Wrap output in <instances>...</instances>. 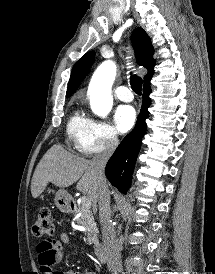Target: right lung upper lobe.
Segmentation results:
<instances>
[{"instance_id":"cb5924a9","label":"right lung upper lobe","mask_w":215,"mask_h":274,"mask_svg":"<svg viewBox=\"0 0 215 274\" xmlns=\"http://www.w3.org/2000/svg\"><path fill=\"white\" fill-rule=\"evenodd\" d=\"M132 44L135 51L137 63L148 70L144 77V84L150 83L154 74L155 61L153 59L154 48L147 33L142 28H137L132 33ZM95 53L93 51L86 53L73 67L66 97H69L79 87L80 82L88 73L89 68L94 61Z\"/></svg>"}]
</instances>
